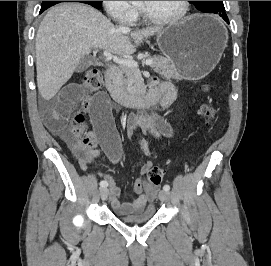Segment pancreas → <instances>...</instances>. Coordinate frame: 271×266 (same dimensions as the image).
<instances>
[{
    "label": "pancreas",
    "instance_id": "obj_1",
    "mask_svg": "<svg viewBox=\"0 0 271 266\" xmlns=\"http://www.w3.org/2000/svg\"><path fill=\"white\" fill-rule=\"evenodd\" d=\"M147 60H153L152 68L155 72L165 78L176 77L177 71L174 63L165 57L154 55ZM123 76V86L126 91L132 95H140L145 91L144 80L138 68L121 66Z\"/></svg>",
    "mask_w": 271,
    "mask_h": 266
}]
</instances>
